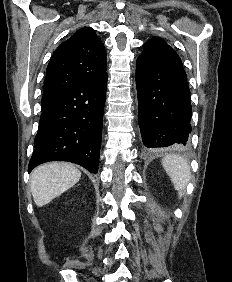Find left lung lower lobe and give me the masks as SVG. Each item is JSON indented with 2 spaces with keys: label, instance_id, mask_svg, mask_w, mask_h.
I'll return each instance as SVG.
<instances>
[{
  "label": "left lung lower lobe",
  "instance_id": "left-lung-lower-lobe-1",
  "mask_svg": "<svg viewBox=\"0 0 232 282\" xmlns=\"http://www.w3.org/2000/svg\"><path fill=\"white\" fill-rule=\"evenodd\" d=\"M143 47L136 64V87L144 147L184 148L192 130V107L182 61L163 39H151Z\"/></svg>",
  "mask_w": 232,
  "mask_h": 282
}]
</instances>
